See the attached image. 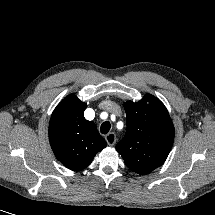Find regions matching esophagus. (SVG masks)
Masks as SVG:
<instances>
[{"instance_id": "obj_1", "label": "esophagus", "mask_w": 215, "mask_h": 215, "mask_svg": "<svg viewBox=\"0 0 215 215\" xmlns=\"http://www.w3.org/2000/svg\"><path fill=\"white\" fill-rule=\"evenodd\" d=\"M105 140L109 146H113L116 142V135L111 132L106 135Z\"/></svg>"}]
</instances>
